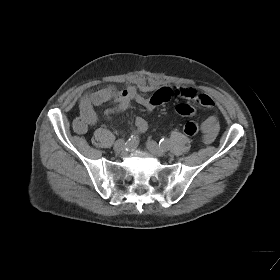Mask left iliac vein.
<instances>
[{"label": "left iliac vein", "mask_w": 280, "mask_h": 280, "mask_svg": "<svg viewBox=\"0 0 280 280\" xmlns=\"http://www.w3.org/2000/svg\"><path fill=\"white\" fill-rule=\"evenodd\" d=\"M148 150L155 156L161 157L165 154V149L159 146L155 141L150 140L147 142Z\"/></svg>", "instance_id": "4c4485c4"}]
</instances>
